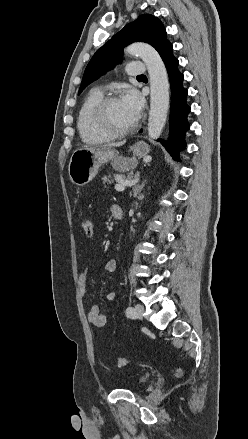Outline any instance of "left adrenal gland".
I'll return each instance as SVG.
<instances>
[{"instance_id":"left-adrenal-gland-1","label":"left adrenal gland","mask_w":248,"mask_h":439,"mask_svg":"<svg viewBox=\"0 0 248 439\" xmlns=\"http://www.w3.org/2000/svg\"><path fill=\"white\" fill-rule=\"evenodd\" d=\"M144 187V183H142V185L140 186V190H142Z\"/></svg>"}]
</instances>
